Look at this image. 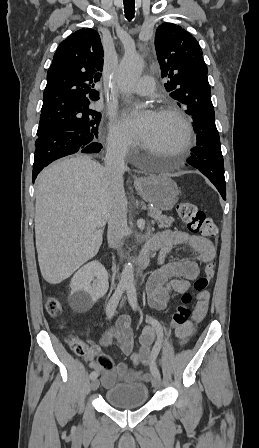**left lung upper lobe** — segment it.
<instances>
[{
    "label": "left lung upper lobe",
    "mask_w": 259,
    "mask_h": 448,
    "mask_svg": "<svg viewBox=\"0 0 259 448\" xmlns=\"http://www.w3.org/2000/svg\"><path fill=\"white\" fill-rule=\"evenodd\" d=\"M155 49L165 89L179 106L187 107L195 132L217 129L208 69L197 40L180 26L163 23L156 30Z\"/></svg>",
    "instance_id": "5c2ea615"
}]
</instances>
